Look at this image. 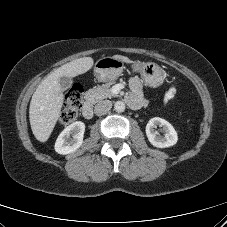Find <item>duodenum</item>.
Masks as SVG:
<instances>
[{
	"instance_id": "1",
	"label": "duodenum",
	"mask_w": 227,
	"mask_h": 227,
	"mask_svg": "<svg viewBox=\"0 0 227 227\" xmlns=\"http://www.w3.org/2000/svg\"><path fill=\"white\" fill-rule=\"evenodd\" d=\"M84 118L91 119L93 117V108L90 102H85L82 109Z\"/></svg>"
}]
</instances>
